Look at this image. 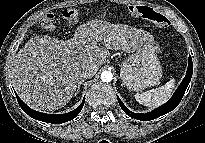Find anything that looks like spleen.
I'll list each match as a JSON object with an SVG mask.
<instances>
[{
	"mask_svg": "<svg viewBox=\"0 0 205 143\" xmlns=\"http://www.w3.org/2000/svg\"><path fill=\"white\" fill-rule=\"evenodd\" d=\"M174 87L175 80L171 79L161 87L143 92L141 94H136L135 99L144 106L150 108L159 107L169 100Z\"/></svg>",
	"mask_w": 205,
	"mask_h": 143,
	"instance_id": "obj_1",
	"label": "spleen"
}]
</instances>
